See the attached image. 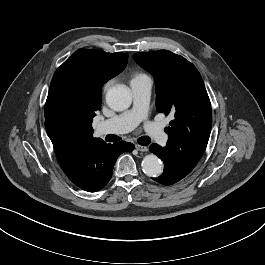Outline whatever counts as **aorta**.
Here are the masks:
<instances>
[{
  "instance_id": "obj_1",
  "label": "aorta",
  "mask_w": 265,
  "mask_h": 265,
  "mask_svg": "<svg viewBox=\"0 0 265 265\" xmlns=\"http://www.w3.org/2000/svg\"><path fill=\"white\" fill-rule=\"evenodd\" d=\"M132 94L130 89L122 84L111 87L106 93L108 106L115 111H123L131 105ZM143 172L149 177L161 175L163 167L160 159L154 155H146L142 160Z\"/></svg>"
}]
</instances>
